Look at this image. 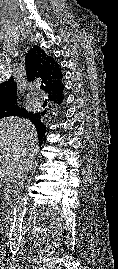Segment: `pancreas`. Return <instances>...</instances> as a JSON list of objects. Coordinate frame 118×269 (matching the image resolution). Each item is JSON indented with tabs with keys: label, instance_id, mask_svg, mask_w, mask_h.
<instances>
[{
	"label": "pancreas",
	"instance_id": "1",
	"mask_svg": "<svg viewBox=\"0 0 118 269\" xmlns=\"http://www.w3.org/2000/svg\"><path fill=\"white\" fill-rule=\"evenodd\" d=\"M2 186H4L3 190L5 192V197H6V201H7L5 207L8 209V207L10 206V202L8 201V197H9V192L11 190V186H10L8 181H4V182L0 181V187H2Z\"/></svg>",
	"mask_w": 118,
	"mask_h": 269
}]
</instances>
